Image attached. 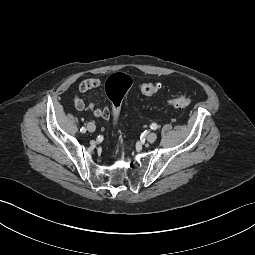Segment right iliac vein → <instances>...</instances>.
I'll return each mask as SVG.
<instances>
[{
    "label": "right iliac vein",
    "instance_id": "obj_1",
    "mask_svg": "<svg viewBox=\"0 0 255 255\" xmlns=\"http://www.w3.org/2000/svg\"><path fill=\"white\" fill-rule=\"evenodd\" d=\"M87 129H88L89 132H94L96 130V126L93 122H89L87 124Z\"/></svg>",
    "mask_w": 255,
    "mask_h": 255
}]
</instances>
